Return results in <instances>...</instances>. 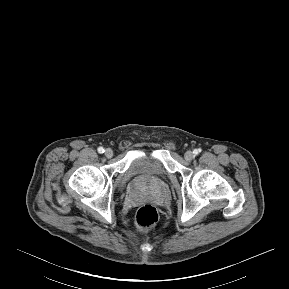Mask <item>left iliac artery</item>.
Segmentation results:
<instances>
[{
  "label": "left iliac artery",
  "mask_w": 289,
  "mask_h": 289,
  "mask_svg": "<svg viewBox=\"0 0 289 289\" xmlns=\"http://www.w3.org/2000/svg\"><path fill=\"white\" fill-rule=\"evenodd\" d=\"M193 153H194L195 155L199 154V153H200V149H195V150L193 151Z\"/></svg>",
  "instance_id": "left-iliac-artery-1"
}]
</instances>
